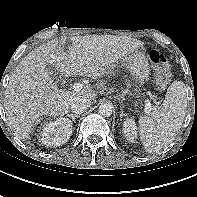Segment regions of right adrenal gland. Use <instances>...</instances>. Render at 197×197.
<instances>
[{
    "label": "right adrenal gland",
    "mask_w": 197,
    "mask_h": 197,
    "mask_svg": "<svg viewBox=\"0 0 197 197\" xmlns=\"http://www.w3.org/2000/svg\"><path fill=\"white\" fill-rule=\"evenodd\" d=\"M67 116L70 117L73 122L75 121L76 118L80 117L79 115H73V114H68Z\"/></svg>",
    "instance_id": "2a0ac1e0"
}]
</instances>
